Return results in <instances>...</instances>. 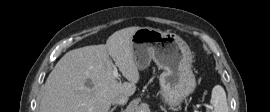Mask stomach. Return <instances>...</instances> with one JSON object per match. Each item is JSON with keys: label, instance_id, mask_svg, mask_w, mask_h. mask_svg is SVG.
Returning <instances> with one entry per match:
<instances>
[{"label": "stomach", "instance_id": "1", "mask_svg": "<svg viewBox=\"0 0 270 112\" xmlns=\"http://www.w3.org/2000/svg\"><path fill=\"white\" fill-rule=\"evenodd\" d=\"M134 60L138 69H146L153 60L162 70L159 77L163 100L178 106L196 87L191 70L192 53L178 35L151 27H142L132 36Z\"/></svg>", "mask_w": 270, "mask_h": 112}]
</instances>
